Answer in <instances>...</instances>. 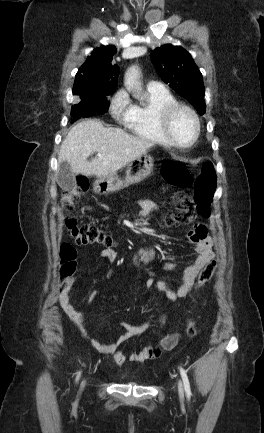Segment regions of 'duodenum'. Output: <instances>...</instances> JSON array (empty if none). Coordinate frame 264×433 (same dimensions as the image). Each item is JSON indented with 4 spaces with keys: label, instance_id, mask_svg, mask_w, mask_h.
Returning <instances> with one entry per match:
<instances>
[{
    "label": "duodenum",
    "instance_id": "1",
    "mask_svg": "<svg viewBox=\"0 0 264 433\" xmlns=\"http://www.w3.org/2000/svg\"><path fill=\"white\" fill-rule=\"evenodd\" d=\"M147 257H148V256H147V253H144V254H143V258L146 260Z\"/></svg>",
    "mask_w": 264,
    "mask_h": 433
}]
</instances>
